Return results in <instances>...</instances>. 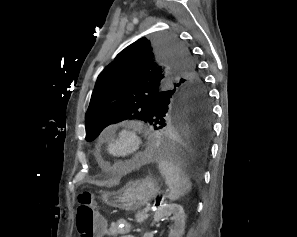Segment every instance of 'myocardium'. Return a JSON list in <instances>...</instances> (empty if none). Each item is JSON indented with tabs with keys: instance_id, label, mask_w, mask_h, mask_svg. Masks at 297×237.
<instances>
[{
	"instance_id": "1",
	"label": "myocardium",
	"mask_w": 297,
	"mask_h": 237,
	"mask_svg": "<svg viewBox=\"0 0 297 237\" xmlns=\"http://www.w3.org/2000/svg\"><path fill=\"white\" fill-rule=\"evenodd\" d=\"M120 138H126L127 140H129L131 144V149L127 154L121 156L120 158H117L115 155L111 153V144L113 141ZM143 148H144V141H143L142 135L140 133L139 128L134 125L123 127L122 129L108 136L106 140L107 153L121 162L134 159L135 157H137L139 154L142 153Z\"/></svg>"
}]
</instances>
